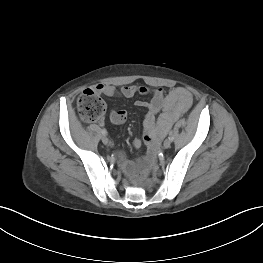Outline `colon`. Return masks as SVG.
I'll list each match as a JSON object with an SVG mask.
<instances>
[{"instance_id": "5ec220e1", "label": "colon", "mask_w": 263, "mask_h": 263, "mask_svg": "<svg viewBox=\"0 0 263 263\" xmlns=\"http://www.w3.org/2000/svg\"><path fill=\"white\" fill-rule=\"evenodd\" d=\"M77 108L83 120L94 122L103 116L106 105L98 92L86 89L77 100Z\"/></svg>"}]
</instances>
